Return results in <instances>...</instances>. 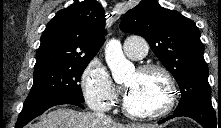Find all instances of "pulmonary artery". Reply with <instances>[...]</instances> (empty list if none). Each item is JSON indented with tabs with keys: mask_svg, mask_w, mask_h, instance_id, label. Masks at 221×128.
Wrapping results in <instances>:
<instances>
[{
	"mask_svg": "<svg viewBox=\"0 0 221 128\" xmlns=\"http://www.w3.org/2000/svg\"><path fill=\"white\" fill-rule=\"evenodd\" d=\"M147 48V41L143 37L137 35L127 37L124 43V51L126 55L134 60L144 57Z\"/></svg>",
	"mask_w": 221,
	"mask_h": 128,
	"instance_id": "obj_1",
	"label": "pulmonary artery"
}]
</instances>
